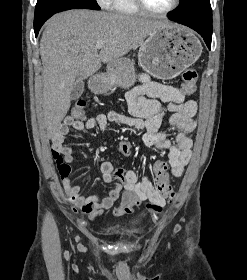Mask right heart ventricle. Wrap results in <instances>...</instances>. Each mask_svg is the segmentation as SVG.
<instances>
[{"label":"right heart ventricle","mask_w":247,"mask_h":280,"mask_svg":"<svg viewBox=\"0 0 247 280\" xmlns=\"http://www.w3.org/2000/svg\"><path fill=\"white\" fill-rule=\"evenodd\" d=\"M111 10L123 15L139 14L140 10L136 7L133 0H112Z\"/></svg>","instance_id":"right-heart-ventricle-1"}]
</instances>
